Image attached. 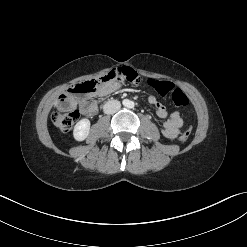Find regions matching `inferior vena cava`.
Instances as JSON below:
<instances>
[{
	"mask_svg": "<svg viewBox=\"0 0 247 247\" xmlns=\"http://www.w3.org/2000/svg\"><path fill=\"white\" fill-rule=\"evenodd\" d=\"M121 108V103L117 100H110L103 106V111L106 114H113Z\"/></svg>",
	"mask_w": 247,
	"mask_h": 247,
	"instance_id": "obj_1",
	"label": "inferior vena cava"
}]
</instances>
